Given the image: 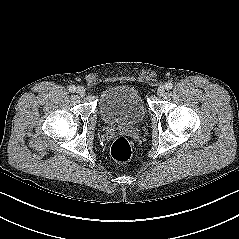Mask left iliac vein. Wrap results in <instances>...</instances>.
Instances as JSON below:
<instances>
[{"mask_svg":"<svg viewBox=\"0 0 239 239\" xmlns=\"http://www.w3.org/2000/svg\"><path fill=\"white\" fill-rule=\"evenodd\" d=\"M165 93V87L164 86H159L157 89V95L158 96H163Z\"/></svg>","mask_w":239,"mask_h":239,"instance_id":"1","label":"left iliac vein"}]
</instances>
